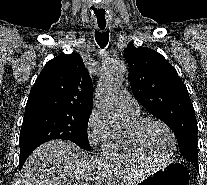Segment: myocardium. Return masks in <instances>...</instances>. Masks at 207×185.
<instances>
[{
  "instance_id": "obj_1",
  "label": "myocardium",
  "mask_w": 207,
  "mask_h": 185,
  "mask_svg": "<svg viewBox=\"0 0 207 185\" xmlns=\"http://www.w3.org/2000/svg\"><path fill=\"white\" fill-rule=\"evenodd\" d=\"M149 122H156V123L162 125L167 130V132L169 133V135L171 137L172 149H171L170 154L165 158L157 159V158L153 157L152 155H150L141 141V131H142L143 127ZM127 134H128V138H129L131 144L133 145V147L138 152H140L144 157H146L148 160H150L154 163L165 164V163L169 162L170 160H172L176 154V151H177L176 135H175L173 129L165 121H163L160 118H157V117L139 118L130 124L129 128L127 129Z\"/></svg>"
}]
</instances>
